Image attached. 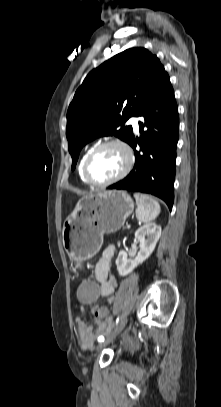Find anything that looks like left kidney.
<instances>
[{
	"label": "left kidney",
	"mask_w": 221,
	"mask_h": 407,
	"mask_svg": "<svg viewBox=\"0 0 221 407\" xmlns=\"http://www.w3.org/2000/svg\"><path fill=\"white\" fill-rule=\"evenodd\" d=\"M161 236V227L155 223H148L135 232V238L140 243V250L134 259H128L127 252L122 250L116 259V266L120 276L131 273L139 264L143 263L154 251ZM147 237V238H146Z\"/></svg>",
	"instance_id": "obj_1"
}]
</instances>
